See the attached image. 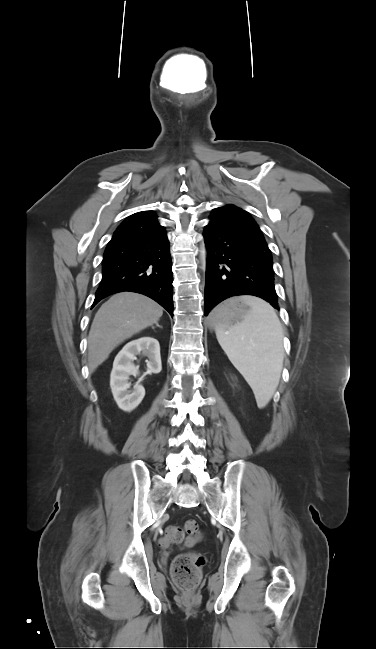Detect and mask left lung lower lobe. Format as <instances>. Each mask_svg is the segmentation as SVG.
Returning a JSON list of instances; mask_svg holds the SVG:
<instances>
[{
	"mask_svg": "<svg viewBox=\"0 0 376 649\" xmlns=\"http://www.w3.org/2000/svg\"><path fill=\"white\" fill-rule=\"evenodd\" d=\"M204 315L236 295H254L279 310L271 252L263 235L234 220L210 217Z\"/></svg>",
	"mask_w": 376,
	"mask_h": 649,
	"instance_id": "1",
	"label": "left lung lower lobe"
}]
</instances>
